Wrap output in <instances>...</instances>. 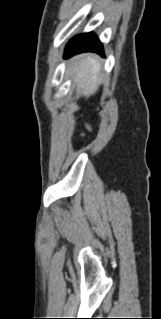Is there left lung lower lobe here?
I'll return each instance as SVG.
<instances>
[{
    "instance_id": "1",
    "label": "left lung lower lobe",
    "mask_w": 161,
    "mask_h": 319,
    "mask_svg": "<svg viewBox=\"0 0 161 319\" xmlns=\"http://www.w3.org/2000/svg\"><path fill=\"white\" fill-rule=\"evenodd\" d=\"M87 51L104 56L102 43L93 32L83 33L72 38L66 46L64 57L67 58Z\"/></svg>"
}]
</instances>
